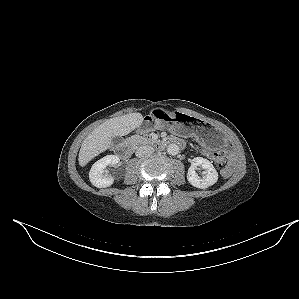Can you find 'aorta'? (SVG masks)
I'll list each match as a JSON object with an SVG mask.
<instances>
[{
  "label": "aorta",
  "instance_id": "762f6f07",
  "mask_svg": "<svg viewBox=\"0 0 299 299\" xmlns=\"http://www.w3.org/2000/svg\"><path fill=\"white\" fill-rule=\"evenodd\" d=\"M179 151H180V148L178 145H176V144L168 145L167 152L170 155H177L179 153Z\"/></svg>",
  "mask_w": 299,
  "mask_h": 299
}]
</instances>
